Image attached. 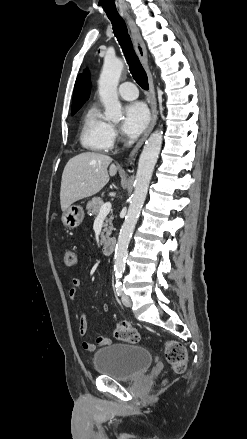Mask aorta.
I'll return each mask as SVG.
<instances>
[{"mask_svg": "<svg viewBox=\"0 0 247 439\" xmlns=\"http://www.w3.org/2000/svg\"><path fill=\"white\" fill-rule=\"evenodd\" d=\"M124 68L120 58H105L102 72L98 81L99 95L105 107V117L108 120L119 121L122 117L121 103L118 99L117 87ZM162 146V131H155L142 150L139 158L134 192L131 196L125 221L120 229L115 248L114 271L118 280L125 270L128 255V245L137 223L141 208L146 199L152 173Z\"/></svg>", "mask_w": 247, "mask_h": 439, "instance_id": "obj_1", "label": "aorta"}]
</instances>
